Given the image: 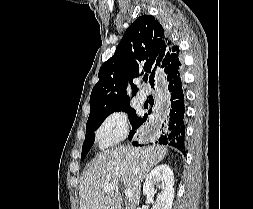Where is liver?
Returning <instances> with one entry per match:
<instances>
[{
	"mask_svg": "<svg viewBox=\"0 0 253 209\" xmlns=\"http://www.w3.org/2000/svg\"><path fill=\"white\" fill-rule=\"evenodd\" d=\"M165 146L132 147L120 146L99 155L84 173L79 188L80 209H123L122 198L115 188L110 193L104 185L121 182L132 190L129 209H137L140 200L141 182L147 173L167 155Z\"/></svg>",
	"mask_w": 253,
	"mask_h": 209,
	"instance_id": "obj_1",
	"label": "liver"
}]
</instances>
